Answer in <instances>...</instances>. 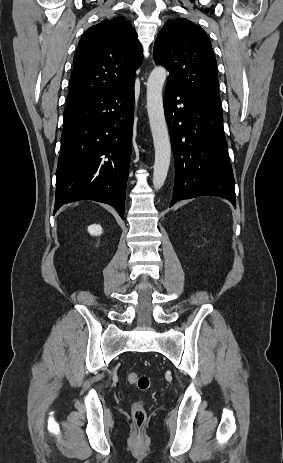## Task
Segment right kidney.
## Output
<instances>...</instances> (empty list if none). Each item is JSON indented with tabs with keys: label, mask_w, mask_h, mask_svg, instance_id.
Returning a JSON list of instances; mask_svg holds the SVG:
<instances>
[{
	"label": "right kidney",
	"mask_w": 283,
	"mask_h": 463,
	"mask_svg": "<svg viewBox=\"0 0 283 463\" xmlns=\"http://www.w3.org/2000/svg\"><path fill=\"white\" fill-rule=\"evenodd\" d=\"M88 232L91 235L98 236L102 233V227L99 224H92L88 227Z\"/></svg>",
	"instance_id": "obj_1"
}]
</instances>
